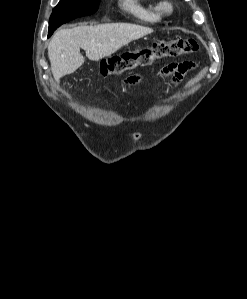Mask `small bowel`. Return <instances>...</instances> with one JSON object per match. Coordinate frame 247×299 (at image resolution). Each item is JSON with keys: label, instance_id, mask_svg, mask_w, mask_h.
Returning <instances> with one entry per match:
<instances>
[{"label": "small bowel", "instance_id": "small-bowel-1", "mask_svg": "<svg viewBox=\"0 0 247 299\" xmlns=\"http://www.w3.org/2000/svg\"><path fill=\"white\" fill-rule=\"evenodd\" d=\"M191 68L192 64L189 62L172 63L163 68L158 76L161 78H170L173 83H178ZM136 81L137 77L132 76L126 80V83L133 84Z\"/></svg>", "mask_w": 247, "mask_h": 299}]
</instances>
